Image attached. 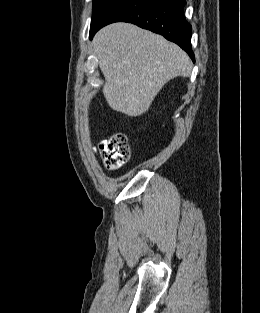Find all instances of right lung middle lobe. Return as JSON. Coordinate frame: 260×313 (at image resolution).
I'll return each mask as SVG.
<instances>
[{"mask_svg":"<svg viewBox=\"0 0 260 313\" xmlns=\"http://www.w3.org/2000/svg\"><path fill=\"white\" fill-rule=\"evenodd\" d=\"M118 0H94L93 15L90 29H92L100 20V18L114 5Z\"/></svg>","mask_w":260,"mask_h":313,"instance_id":"dd1d6c3e","label":"right lung middle lobe"}]
</instances>
